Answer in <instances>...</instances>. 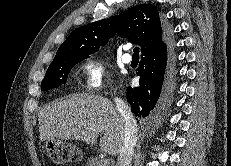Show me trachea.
I'll list each match as a JSON object with an SVG mask.
<instances>
[{"mask_svg":"<svg viewBox=\"0 0 231 166\" xmlns=\"http://www.w3.org/2000/svg\"><path fill=\"white\" fill-rule=\"evenodd\" d=\"M133 57H139V47H134V49H133Z\"/></svg>","mask_w":231,"mask_h":166,"instance_id":"trachea-1","label":"trachea"}]
</instances>
